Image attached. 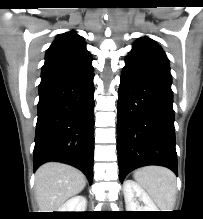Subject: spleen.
Here are the masks:
<instances>
[{
	"instance_id": "spleen-1",
	"label": "spleen",
	"mask_w": 203,
	"mask_h": 219,
	"mask_svg": "<svg viewBox=\"0 0 203 219\" xmlns=\"http://www.w3.org/2000/svg\"><path fill=\"white\" fill-rule=\"evenodd\" d=\"M133 176L161 211L173 210L176 200V177L171 170L147 166L136 170Z\"/></svg>"
}]
</instances>
